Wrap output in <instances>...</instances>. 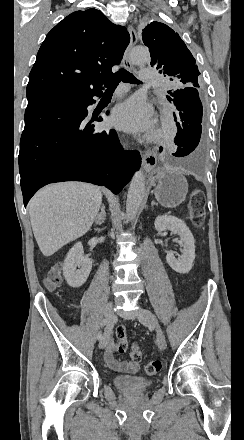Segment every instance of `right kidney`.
I'll list each match as a JSON object with an SVG mask.
<instances>
[{
	"label": "right kidney",
	"instance_id": "right-kidney-1",
	"mask_svg": "<svg viewBox=\"0 0 244 440\" xmlns=\"http://www.w3.org/2000/svg\"><path fill=\"white\" fill-rule=\"evenodd\" d=\"M79 268V270H77ZM92 268V262L88 256H84L81 242H77L69 250L63 266V276L71 288H80L85 284Z\"/></svg>",
	"mask_w": 244,
	"mask_h": 440
}]
</instances>
